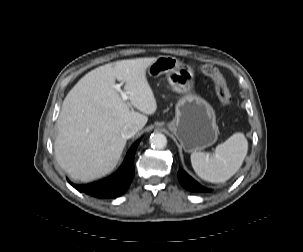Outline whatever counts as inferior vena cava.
<instances>
[{
	"instance_id": "1",
	"label": "inferior vena cava",
	"mask_w": 303,
	"mask_h": 252,
	"mask_svg": "<svg viewBox=\"0 0 303 252\" xmlns=\"http://www.w3.org/2000/svg\"><path fill=\"white\" fill-rule=\"evenodd\" d=\"M138 130L139 128L136 125H125L121 130V135L124 139H129L133 137Z\"/></svg>"
}]
</instances>
